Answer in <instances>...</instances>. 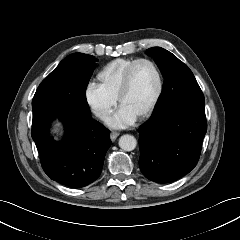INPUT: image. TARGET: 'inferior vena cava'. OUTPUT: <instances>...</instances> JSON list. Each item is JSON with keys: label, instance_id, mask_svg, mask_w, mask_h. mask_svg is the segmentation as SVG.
Segmentation results:
<instances>
[{"label": "inferior vena cava", "instance_id": "602c4592", "mask_svg": "<svg viewBox=\"0 0 240 240\" xmlns=\"http://www.w3.org/2000/svg\"><path fill=\"white\" fill-rule=\"evenodd\" d=\"M96 116L99 117L100 119H106L107 118V114L105 112H102V111H97Z\"/></svg>", "mask_w": 240, "mask_h": 240}]
</instances>
